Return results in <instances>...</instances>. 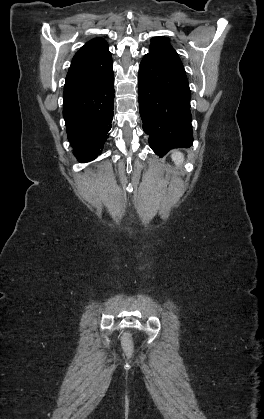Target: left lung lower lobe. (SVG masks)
<instances>
[{"label": "left lung lower lobe", "mask_w": 264, "mask_h": 419, "mask_svg": "<svg viewBox=\"0 0 264 419\" xmlns=\"http://www.w3.org/2000/svg\"><path fill=\"white\" fill-rule=\"evenodd\" d=\"M139 110L143 130L160 157L193 142L190 89L184 67L164 37L152 44L139 66Z\"/></svg>", "instance_id": "1"}]
</instances>
